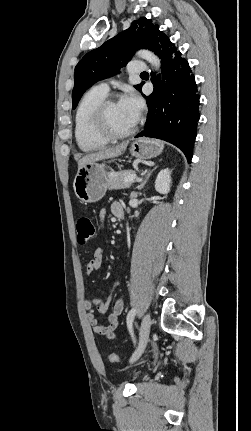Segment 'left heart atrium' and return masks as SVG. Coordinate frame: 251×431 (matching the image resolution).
<instances>
[{
  "label": "left heart atrium",
  "instance_id": "1",
  "mask_svg": "<svg viewBox=\"0 0 251 431\" xmlns=\"http://www.w3.org/2000/svg\"><path fill=\"white\" fill-rule=\"evenodd\" d=\"M119 102L123 108L131 113L135 120H138L143 108V102L134 91L126 93Z\"/></svg>",
  "mask_w": 251,
  "mask_h": 431
}]
</instances>
